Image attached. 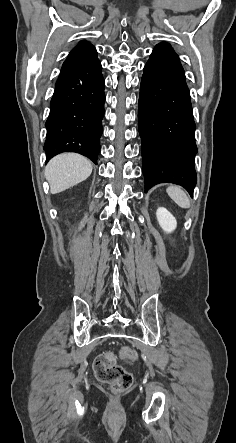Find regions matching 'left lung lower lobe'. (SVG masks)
<instances>
[{
    "mask_svg": "<svg viewBox=\"0 0 236 443\" xmlns=\"http://www.w3.org/2000/svg\"><path fill=\"white\" fill-rule=\"evenodd\" d=\"M138 121L145 192L170 182L192 196L197 181L196 125L185 72L168 43L158 44L144 67Z\"/></svg>",
    "mask_w": 236,
    "mask_h": 443,
    "instance_id": "left-lung-lower-lobe-1",
    "label": "left lung lower lobe"
}]
</instances>
